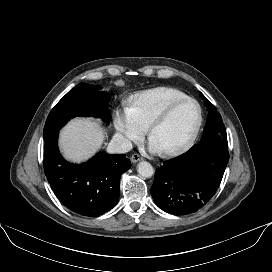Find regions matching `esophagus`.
I'll list each match as a JSON object with an SVG mask.
<instances>
[{"instance_id":"obj_1","label":"esophagus","mask_w":272,"mask_h":272,"mask_svg":"<svg viewBox=\"0 0 272 272\" xmlns=\"http://www.w3.org/2000/svg\"><path fill=\"white\" fill-rule=\"evenodd\" d=\"M140 160H142V157L139 154H133L131 156V162L132 163H137Z\"/></svg>"}]
</instances>
